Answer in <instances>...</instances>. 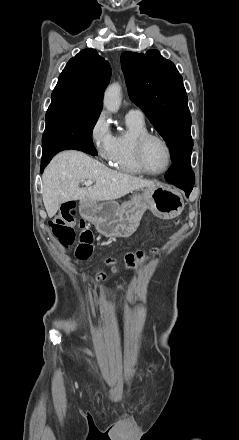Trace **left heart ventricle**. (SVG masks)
Instances as JSON below:
<instances>
[{
  "label": "left heart ventricle",
  "instance_id": "left-heart-ventricle-1",
  "mask_svg": "<svg viewBox=\"0 0 239 440\" xmlns=\"http://www.w3.org/2000/svg\"><path fill=\"white\" fill-rule=\"evenodd\" d=\"M144 157L148 168L153 172L164 170L168 163L166 147L157 139H151L148 141L145 146Z\"/></svg>",
  "mask_w": 239,
  "mask_h": 440
}]
</instances>
